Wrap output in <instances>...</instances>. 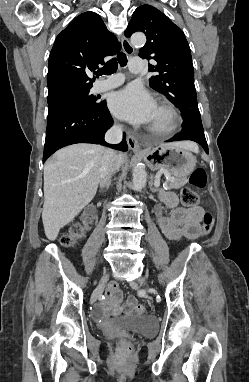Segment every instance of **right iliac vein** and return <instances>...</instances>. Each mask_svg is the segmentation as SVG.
Listing matches in <instances>:
<instances>
[{"label":"right iliac vein","instance_id":"obj_1","mask_svg":"<svg viewBox=\"0 0 249 382\" xmlns=\"http://www.w3.org/2000/svg\"><path fill=\"white\" fill-rule=\"evenodd\" d=\"M107 280H108V276H107V274H104L103 277L101 278V281H100L98 287H97L98 292H100L103 289Z\"/></svg>","mask_w":249,"mask_h":382}]
</instances>
